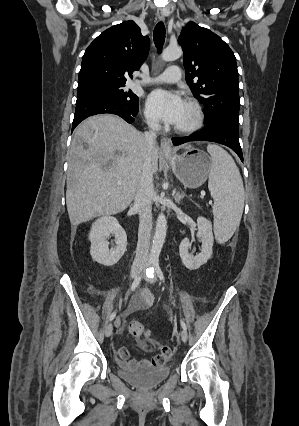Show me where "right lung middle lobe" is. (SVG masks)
I'll return each mask as SVG.
<instances>
[{
  "instance_id": "right-lung-middle-lobe-1",
  "label": "right lung middle lobe",
  "mask_w": 299,
  "mask_h": 426,
  "mask_svg": "<svg viewBox=\"0 0 299 426\" xmlns=\"http://www.w3.org/2000/svg\"><path fill=\"white\" fill-rule=\"evenodd\" d=\"M125 84L93 83L78 86L77 97L84 94L102 95L112 98L126 106H137L138 97L130 90H125Z\"/></svg>"
}]
</instances>
